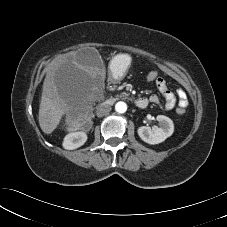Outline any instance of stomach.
<instances>
[{"label": "stomach", "mask_w": 227, "mask_h": 227, "mask_svg": "<svg viewBox=\"0 0 227 227\" xmlns=\"http://www.w3.org/2000/svg\"><path fill=\"white\" fill-rule=\"evenodd\" d=\"M131 57L128 54L116 55L110 63V74L115 80L122 79L129 69Z\"/></svg>", "instance_id": "stomach-1"}]
</instances>
